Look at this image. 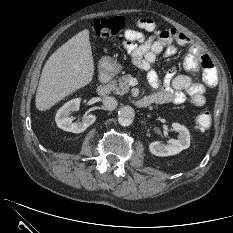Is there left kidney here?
Masks as SVG:
<instances>
[{"label":"left kidney","mask_w":233,"mask_h":233,"mask_svg":"<svg viewBox=\"0 0 233 233\" xmlns=\"http://www.w3.org/2000/svg\"><path fill=\"white\" fill-rule=\"evenodd\" d=\"M172 128L175 132H178V139H170L167 145H163L159 141L150 143L149 150L153 155L172 156L179 154L190 146L189 130L179 123H172Z\"/></svg>","instance_id":"1"}]
</instances>
